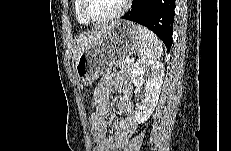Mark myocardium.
Segmentation results:
<instances>
[{
	"mask_svg": "<svg viewBox=\"0 0 231 151\" xmlns=\"http://www.w3.org/2000/svg\"><path fill=\"white\" fill-rule=\"evenodd\" d=\"M130 0H124V3L122 5V7L120 8L119 11H117L115 14L104 17V18H100V19H94L91 18L87 12H86V6H87V0H81V15L84 18L85 21H87L88 23H92V24H102V23H108L114 20L119 19L120 17H122L125 12L128 9V6L130 4Z\"/></svg>",
	"mask_w": 231,
	"mask_h": 151,
	"instance_id": "myocardium-1",
	"label": "myocardium"
}]
</instances>
